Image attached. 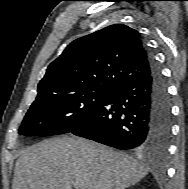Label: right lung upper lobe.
Returning <instances> with one entry per match:
<instances>
[{"label": "right lung upper lobe", "instance_id": "right-lung-upper-lobe-1", "mask_svg": "<svg viewBox=\"0 0 188 189\" xmlns=\"http://www.w3.org/2000/svg\"><path fill=\"white\" fill-rule=\"evenodd\" d=\"M149 72L139 32L114 24L71 42L47 68L38 96L90 88L115 89Z\"/></svg>", "mask_w": 188, "mask_h": 189}]
</instances>
